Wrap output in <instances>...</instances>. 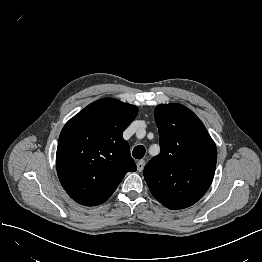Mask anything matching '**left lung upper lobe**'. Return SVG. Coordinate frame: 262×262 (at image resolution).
Returning <instances> with one entry per match:
<instances>
[{
    "mask_svg": "<svg viewBox=\"0 0 262 262\" xmlns=\"http://www.w3.org/2000/svg\"><path fill=\"white\" fill-rule=\"evenodd\" d=\"M154 117L161 151L145 166L144 178L152 195L165 207H189L212 183L215 143L201 120L181 104L158 105Z\"/></svg>",
    "mask_w": 262,
    "mask_h": 262,
    "instance_id": "5c2ea615",
    "label": "left lung upper lobe"
}]
</instances>
